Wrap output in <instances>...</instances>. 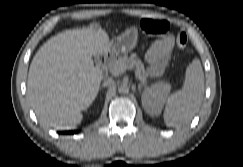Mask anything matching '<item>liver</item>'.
<instances>
[{"instance_id":"1","label":"liver","mask_w":243,"mask_h":167,"mask_svg":"<svg viewBox=\"0 0 243 167\" xmlns=\"http://www.w3.org/2000/svg\"><path fill=\"white\" fill-rule=\"evenodd\" d=\"M102 29H77L50 38L36 53L28 74V92L38 119L56 129H73L95 100L102 72L92 57L109 52Z\"/></svg>"}]
</instances>
